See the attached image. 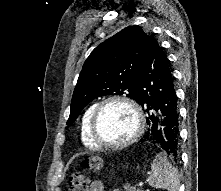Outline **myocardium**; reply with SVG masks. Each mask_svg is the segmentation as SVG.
<instances>
[{
	"label": "myocardium",
	"mask_w": 221,
	"mask_h": 191,
	"mask_svg": "<svg viewBox=\"0 0 221 191\" xmlns=\"http://www.w3.org/2000/svg\"><path fill=\"white\" fill-rule=\"evenodd\" d=\"M116 102L128 106L133 111L136 119V127L133 134L126 140L119 143H109L104 141L100 137L98 131V121L104 107L108 104ZM144 128H145V118L140 105L131 98L122 95H113L100 101L96 105L90 121V135L92 140L100 147H105L110 149H121L133 144L140 138L141 134L144 131Z\"/></svg>",
	"instance_id": "obj_1"
}]
</instances>
